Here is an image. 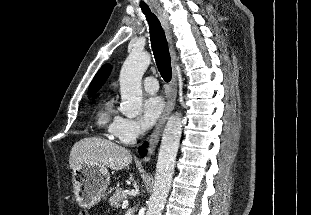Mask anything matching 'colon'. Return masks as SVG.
<instances>
[{
  "label": "colon",
  "mask_w": 311,
  "mask_h": 215,
  "mask_svg": "<svg viewBox=\"0 0 311 215\" xmlns=\"http://www.w3.org/2000/svg\"><path fill=\"white\" fill-rule=\"evenodd\" d=\"M79 215H88V214H87V212H85V211H81V212L79 213Z\"/></svg>",
  "instance_id": "5ec220e1"
}]
</instances>
